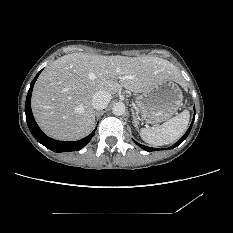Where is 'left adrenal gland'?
I'll return each instance as SVG.
<instances>
[{
    "instance_id": "a2214340",
    "label": "left adrenal gland",
    "mask_w": 233,
    "mask_h": 233,
    "mask_svg": "<svg viewBox=\"0 0 233 233\" xmlns=\"http://www.w3.org/2000/svg\"><path fill=\"white\" fill-rule=\"evenodd\" d=\"M131 112H132V117H133V124H134L135 128L138 129V121H137L135 112L133 109H131Z\"/></svg>"
}]
</instances>
